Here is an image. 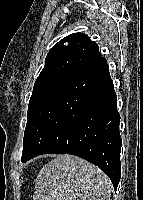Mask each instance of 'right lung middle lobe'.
Returning <instances> with one entry per match:
<instances>
[{
	"label": "right lung middle lobe",
	"instance_id": "obj_1",
	"mask_svg": "<svg viewBox=\"0 0 143 200\" xmlns=\"http://www.w3.org/2000/svg\"><path fill=\"white\" fill-rule=\"evenodd\" d=\"M65 78L66 77L64 76H52L36 80L28 105L27 124L24 132V139L27 135L31 121L40 105Z\"/></svg>",
	"mask_w": 143,
	"mask_h": 200
}]
</instances>
